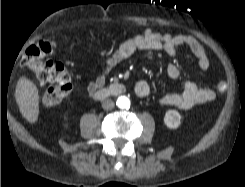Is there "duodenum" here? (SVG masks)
Returning <instances> with one entry per match:
<instances>
[{
	"instance_id": "duodenum-1",
	"label": "duodenum",
	"mask_w": 245,
	"mask_h": 187,
	"mask_svg": "<svg viewBox=\"0 0 245 187\" xmlns=\"http://www.w3.org/2000/svg\"><path fill=\"white\" fill-rule=\"evenodd\" d=\"M126 91V87L121 83H113L108 87L99 89L93 93L95 99H103L112 95H120Z\"/></svg>"
}]
</instances>
